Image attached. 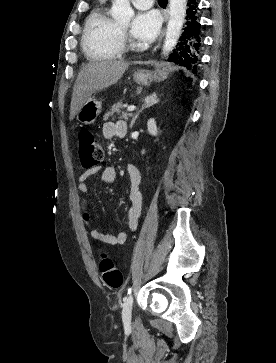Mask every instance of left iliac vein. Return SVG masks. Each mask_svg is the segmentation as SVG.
Here are the masks:
<instances>
[{
    "label": "left iliac vein",
    "mask_w": 276,
    "mask_h": 363,
    "mask_svg": "<svg viewBox=\"0 0 276 363\" xmlns=\"http://www.w3.org/2000/svg\"><path fill=\"white\" fill-rule=\"evenodd\" d=\"M132 306H133V297L132 295H129L124 302L123 311H122V317L124 321H129L131 319Z\"/></svg>",
    "instance_id": "4c4485c4"
}]
</instances>
